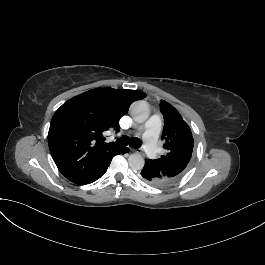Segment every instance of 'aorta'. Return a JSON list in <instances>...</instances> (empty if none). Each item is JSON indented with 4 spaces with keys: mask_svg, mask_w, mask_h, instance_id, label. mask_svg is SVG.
Masks as SVG:
<instances>
[{
    "mask_svg": "<svg viewBox=\"0 0 265 265\" xmlns=\"http://www.w3.org/2000/svg\"><path fill=\"white\" fill-rule=\"evenodd\" d=\"M130 112L134 121L138 123L145 122L149 117V108L144 101L134 102L130 106ZM128 163L131 169L138 171L142 170L145 165L144 158L138 153L131 154L128 157Z\"/></svg>",
    "mask_w": 265,
    "mask_h": 265,
    "instance_id": "aorta-1",
    "label": "aorta"
}]
</instances>
